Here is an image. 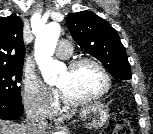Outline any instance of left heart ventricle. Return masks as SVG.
I'll return each instance as SVG.
<instances>
[{"instance_id": "1", "label": "left heart ventricle", "mask_w": 153, "mask_h": 134, "mask_svg": "<svg viewBox=\"0 0 153 134\" xmlns=\"http://www.w3.org/2000/svg\"><path fill=\"white\" fill-rule=\"evenodd\" d=\"M104 83L103 75L94 65L83 64L74 70L67 68L56 85L69 97L81 99L98 93Z\"/></svg>"}]
</instances>
